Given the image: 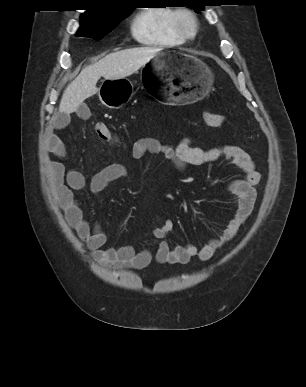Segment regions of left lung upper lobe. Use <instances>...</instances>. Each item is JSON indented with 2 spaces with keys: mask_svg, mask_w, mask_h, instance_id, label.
Listing matches in <instances>:
<instances>
[{
  "mask_svg": "<svg viewBox=\"0 0 306 387\" xmlns=\"http://www.w3.org/2000/svg\"><path fill=\"white\" fill-rule=\"evenodd\" d=\"M195 4H193L192 7L195 12L199 13L204 9V6L206 5V0H192Z\"/></svg>",
  "mask_w": 306,
  "mask_h": 387,
  "instance_id": "obj_1",
  "label": "left lung upper lobe"
}]
</instances>
